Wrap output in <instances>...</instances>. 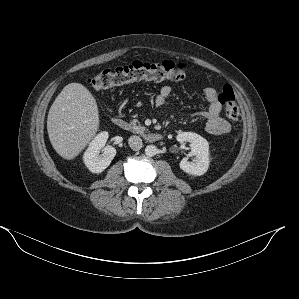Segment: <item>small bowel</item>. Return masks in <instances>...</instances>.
Instances as JSON below:
<instances>
[{"mask_svg":"<svg viewBox=\"0 0 299 299\" xmlns=\"http://www.w3.org/2000/svg\"><path fill=\"white\" fill-rule=\"evenodd\" d=\"M171 94L172 89L170 86L161 87L155 96V104L159 107L164 106ZM204 99L208 103V108L201 113V116L206 119L207 132L213 135L228 133L231 125L221 114L222 106L218 101L216 90L210 87L206 88L204 90Z\"/></svg>","mask_w":299,"mask_h":299,"instance_id":"c3829d8e","label":"small bowel"}]
</instances>
